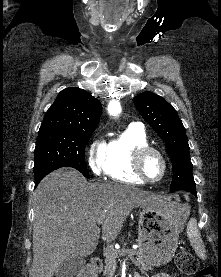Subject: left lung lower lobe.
Returning a JSON list of instances; mask_svg holds the SVG:
<instances>
[{
	"instance_id": "0a47b994",
	"label": "left lung lower lobe",
	"mask_w": 221,
	"mask_h": 277,
	"mask_svg": "<svg viewBox=\"0 0 221 277\" xmlns=\"http://www.w3.org/2000/svg\"><path fill=\"white\" fill-rule=\"evenodd\" d=\"M188 192H191L193 195L197 196L196 187H191Z\"/></svg>"
}]
</instances>
